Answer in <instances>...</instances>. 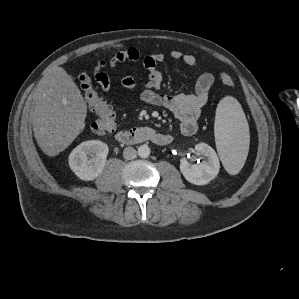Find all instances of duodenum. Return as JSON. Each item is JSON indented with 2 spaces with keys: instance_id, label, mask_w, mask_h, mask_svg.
I'll return each instance as SVG.
<instances>
[{
  "instance_id": "410a0bca",
  "label": "duodenum",
  "mask_w": 299,
  "mask_h": 299,
  "mask_svg": "<svg viewBox=\"0 0 299 299\" xmlns=\"http://www.w3.org/2000/svg\"><path fill=\"white\" fill-rule=\"evenodd\" d=\"M115 138L118 142L130 145L135 143H141L145 141H151L156 144L163 145L167 139L163 133H159L151 127H138L129 130H119L115 134Z\"/></svg>"
}]
</instances>
